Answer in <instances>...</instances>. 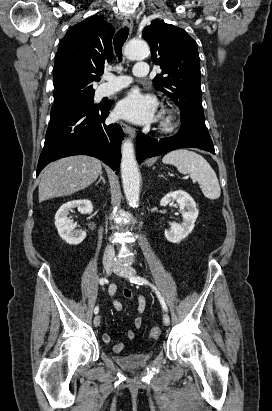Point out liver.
Listing matches in <instances>:
<instances>
[{"mask_svg": "<svg viewBox=\"0 0 272 411\" xmlns=\"http://www.w3.org/2000/svg\"><path fill=\"white\" fill-rule=\"evenodd\" d=\"M101 172V162L90 156H70L53 162L41 174L39 202L82 190L92 184Z\"/></svg>", "mask_w": 272, "mask_h": 411, "instance_id": "liver-1", "label": "liver"}]
</instances>
